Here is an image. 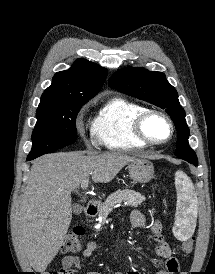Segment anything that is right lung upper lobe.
<instances>
[{
    "label": "right lung upper lobe",
    "mask_w": 215,
    "mask_h": 274,
    "mask_svg": "<svg viewBox=\"0 0 215 274\" xmlns=\"http://www.w3.org/2000/svg\"><path fill=\"white\" fill-rule=\"evenodd\" d=\"M107 70L86 59H77L66 71L57 72L41 97L42 103L85 104L101 89Z\"/></svg>",
    "instance_id": "right-lung-upper-lobe-1"
}]
</instances>
